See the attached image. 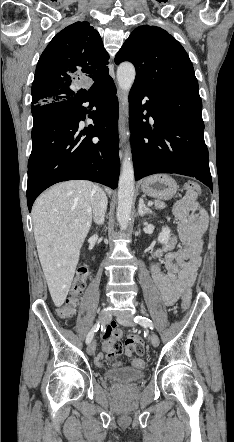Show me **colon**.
I'll use <instances>...</instances> for the list:
<instances>
[{
    "mask_svg": "<svg viewBox=\"0 0 234 442\" xmlns=\"http://www.w3.org/2000/svg\"><path fill=\"white\" fill-rule=\"evenodd\" d=\"M185 189L187 193H190L192 195H197L200 193L201 188L200 185L196 182H188L185 185ZM89 277V269L87 267H81L78 270V273L75 277V280L73 282L72 288H71V297L67 299L66 303L60 306L57 309V315L62 319L70 318L75 313V308L77 305V296L84 290L87 280ZM191 302V291L189 289H186L183 297H182V306L183 308H187L190 305ZM141 342H143L141 340ZM120 352V349H119ZM116 351L113 349H109L105 351L104 353H98L97 354V361L101 362V360L106 359L107 364L110 365V367L113 368L114 372H120L123 370L125 363L122 361L121 357L116 356ZM144 366V362L141 360L140 357L134 358V365L133 368L136 371L141 370V368Z\"/></svg>",
    "mask_w": 234,
    "mask_h": 442,
    "instance_id": "obj_1",
    "label": "colon"
}]
</instances>
